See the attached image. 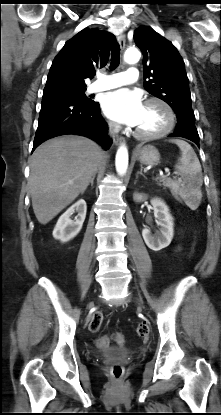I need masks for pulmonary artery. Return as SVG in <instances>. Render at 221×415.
<instances>
[{"label": "pulmonary artery", "mask_w": 221, "mask_h": 415, "mask_svg": "<svg viewBox=\"0 0 221 415\" xmlns=\"http://www.w3.org/2000/svg\"><path fill=\"white\" fill-rule=\"evenodd\" d=\"M137 79L138 70L135 67H130L125 72L99 76L98 80L91 84L88 90L90 93L106 91L134 83Z\"/></svg>", "instance_id": "pulmonary-artery-1"}]
</instances>
